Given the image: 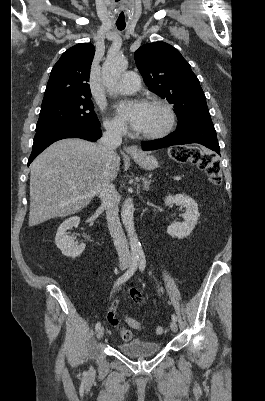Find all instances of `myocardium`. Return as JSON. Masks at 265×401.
Segmentation results:
<instances>
[{
	"mask_svg": "<svg viewBox=\"0 0 265 401\" xmlns=\"http://www.w3.org/2000/svg\"><path fill=\"white\" fill-rule=\"evenodd\" d=\"M148 104L157 106L163 111L164 122L157 130L150 132V133H141L140 137L145 138V139L158 138V137L164 135L166 132H168L172 128V126L175 122V113H174V110L172 109V107L164 100L154 99V100H151Z\"/></svg>",
	"mask_w": 265,
	"mask_h": 401,
	"instance_id": "obj_1",
	"label": "myocardium"
}]
</instances>
